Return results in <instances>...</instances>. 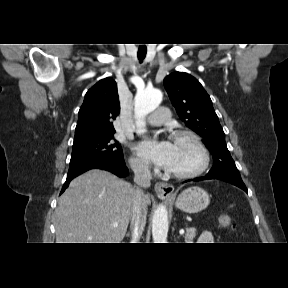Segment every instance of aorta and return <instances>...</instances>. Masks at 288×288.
I'll list each match as a JSON object with an SVG mask.
<instances>
[{
  "label": "aorta",
  "instance_id": "obj_1",
  "mask_svg": "<svg viewBox=\"0 0 288 288\" xmlns=\"http://www.w3.org/2000/svg\"><path fill=\"white\" fill-rule=\"evenodd\" d=\"M162 101V93L157 89L139 91L134 99V115L137 132L145 133L144 118L154 111ZM168 212L165 206L160 205L153 214L152 237L154 243H167Z\"/></svg>",
  "mask_w": 288,
  "mask_h": 288
}]
</instances>
